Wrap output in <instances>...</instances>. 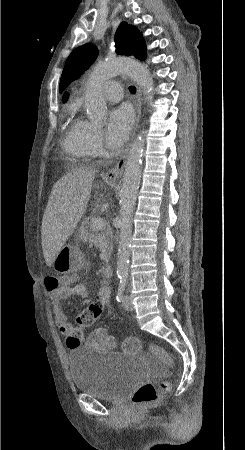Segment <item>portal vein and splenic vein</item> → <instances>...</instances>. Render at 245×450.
Masks as SVG:
<instances>
[{"label":"portal vein and splenic vein","instance_id":"obj_1","mask_svg":"<svg viewBox=\"0 0 245 450\" xmlns=\"http://www.w3.org/2000/svg\"><path fill=\"white\" fill-rule=\"evenodd\" d=\"M105 227V222L102 218H95L93 220L92 228L93 230H101Z\"/></svg>","mask_w":245,"mask_h":450}]
</instances>
